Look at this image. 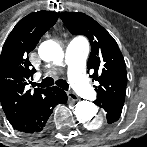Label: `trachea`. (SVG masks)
<instances>
[{"label": "trachea", "mask_w": 147, "mask_h": 147, "mask_svg": "<svg viewBox=\"0 0 147 147\" xmlns=\"http://www.w3.org/2000/svg\"><path fill=\"white\" fill-rule=\"evenodd\" d=\"M53 84H54L53 78L46 77L45 79L42 80V82L40 84L32 83V86L33 87L39 86V87L45 88V87L52 86ZM55 84L57 86H59L60 88H62L63 90H68L69 85L66 82V80L58 79V80L55 81Z\"/></svg>", "instance_id": "1"}]
</instances>
